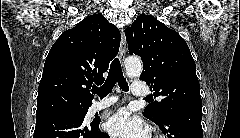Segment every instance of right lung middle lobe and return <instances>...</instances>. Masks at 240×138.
<instances>
[{
	"label": "right lung middle lobe",
	"mask_w": 240,
	"mask_h": 138,
	"mask_svg": "<svg viewBox=\"0 0 240 138\" xmlns=\"http://www.w3.org/2000/svg\"><path fill=\"white\" fill-rule=\"evenodd\" d=\"M88 108H89V107L72 108V109L62 110V111H58V112H54V113L37 115V116H36V119H40V118H43V117H47V116H50V115H53V114H56V113L69 112V111L76 112L77 114H80V115H82V116L84 117V116L86 115L87 111H88Z\"/></svg>",
	"instance_id": "1"
}]
</instances>
